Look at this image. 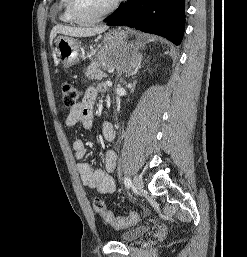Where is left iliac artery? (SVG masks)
<instances>
[{
    "mask_svg": "<svg viewBox=\"0 0 247 257\" xmlns=\"http://www.w3.org/2000/svg\"><path fill=\"white\" fill-rule=\"evenodd\" d=\"M124 184L128 189L132 186L131 180L128 177H125Z\"/></svg>",
    "mask_w": 247,
    "mask_h": 257,
    "instance_id": "left-iliac-artery-1",
    "label": "left iliac artery"
}]
</instances>
